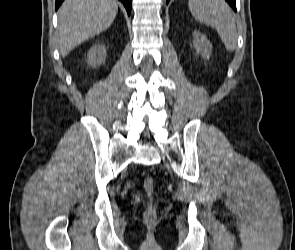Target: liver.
<instances>
[{
	"label": "liver",
	"mask_w": 295,
	"mask_h": 250,
	"mask_svg": "<svg viewBox=\"0 0 295 250\" xmlns=\"http://www.w3.org/2000/svg\"><path fill=\"white\" fill-rule=\"evenodd\" d=\"M117 12L116 0H65L59 9L60 54L65 57L82 42L108 29Z\"/></svg>",
	"instance_id": "6515ba94"
}]
</instances>
